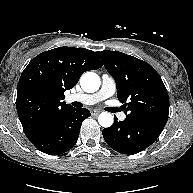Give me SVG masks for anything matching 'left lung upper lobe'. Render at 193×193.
Listing matches in <instances>:
<instances>
[{"label": "left lung upper lobe", "instance_id": "obj_1", "mask_svg": "<svg viewBox=\"0 0 193 193\" xmlns=\"http://www.w3.org/2000/svg\"><path fill=\"white\" fill-rule=\"evenodd\" d=\"M97 55L116 82L117 97L127 115L125 120L168 118V93L152 66L118 51L104 50Z\"/></svg>", "mask_w": 193, "mask_h": 193}]
</instances>
